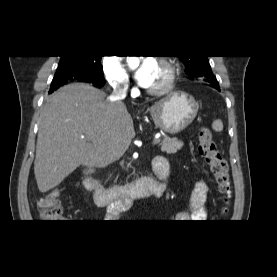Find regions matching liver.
Here are the masks:
<instances>
[{
    "mask_svg": "<svg viewBox=\"0 0 277 277\" xmlns=\"http://www.w3.org/2000/svg\"><path fill=\"white\" fill-rule=\"evenodd\" d=\"M87 83L61 87L46 98L34 161L40 192L58 186L80 165L106 167L118 160L135 136L126 105L108 101Z\"/></svg>",
    "mask_w": 277,
    "mask_h": 277,
    "instance_id": "liver-1",
    "label": "liver"
}]
</instances>
